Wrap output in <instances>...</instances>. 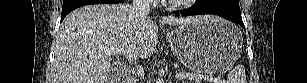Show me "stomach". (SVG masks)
<instances>
[{
  "label": "stomach",
  "instance_id": "0dacf381",
  "mask_svg": "<svg viewBox=\"0 0 307 83\" xmlns=\"http://www.w3.org/2000/svg\"><path fill=\"white\" fill-rule=\"evenodd\" d=\"M167 40L174 56L185 67L203 74L228 68L239 57L243 46L236 25L208 15L171 30Z\"/></svg>",
  "mask_w": 307,
  "mask_h": 83
}]
</instances>
